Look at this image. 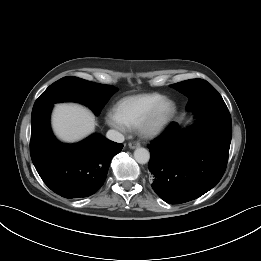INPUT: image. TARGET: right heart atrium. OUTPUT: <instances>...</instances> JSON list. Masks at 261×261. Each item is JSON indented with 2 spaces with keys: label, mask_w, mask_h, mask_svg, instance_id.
<instances>
[{
  "label": "right heart atrium",
  "mask_w": 261,
  "mask_h": 261,
  "mask_svg": "<svg viewBox=\"0 0 261 261\" xmlns=\"http://www.w3.org/2000/svg\"><path fill=\"white\" fill-rule=\"evenodd\" d=\"M105 118L107 124L119 132L126 133L129 130V126L116 114L114 110L108 111Z\"/></svg>",
  "instance_id": "1"
}]
</instances>
